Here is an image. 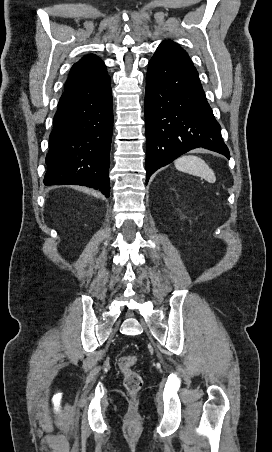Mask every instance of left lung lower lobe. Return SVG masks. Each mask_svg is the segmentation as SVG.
<instances>
[{
	"mask_svg": "<svg viewBox=\"0 0 272 452\" xmlns=\"http://www.w3.org/2000/svg\"><path fill=\"white\" fill-rule=\"evenodd\" d=\"M146 183L159 168L203 147L230 158L188 54L162 42L149 62L145 92Z\"/></svg>",
	"mask_w": 272,
	"mask_h": 452,
	"instance_id": "1",
	"label": "left lung lower lobe"
}]
</instances>
